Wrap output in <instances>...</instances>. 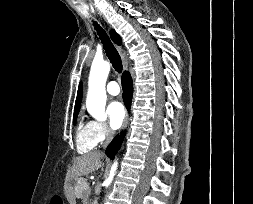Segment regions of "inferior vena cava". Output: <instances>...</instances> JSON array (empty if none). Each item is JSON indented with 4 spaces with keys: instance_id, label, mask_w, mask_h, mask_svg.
I'll return each instance as SVG.
<instances>
[{
    "instance_id": "inferior-vena-cava-1",
    "label": "inferior vena cava",
    "mask_w": 253,
    "mask_h": 204,
    "mask_svg": "<svg viewBox=\"0 0 253 204\" xmlns=\"http://www.w3.org/2000/svg\"><path fill=\"white\" fill-rule=\"evenodd\" d=\"M114 132L111 129H107L106 131V141L104 143V147H106L113 139Z\"/></svg>"
}]
</instances>
